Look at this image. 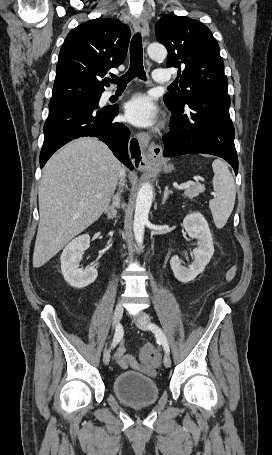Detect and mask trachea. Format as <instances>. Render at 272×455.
Masks as SVG:
<instances>
[{"mask_svg":"<svg viewBox=\"0 0 272 455\" xmlns=\"http://www.w3.org/2000/svg\"><path fill=\"white\" fill-rule=\"evenodd\" d=\"M135 77L146 80V74L143 67L142 38L140 33H136L131 40L129 70L121 77L112 76V79L109 81L117 84L118 87H125Z\"/></svg>","mask_w":272,"mask_h":455,"instance_id":"trachea-1","label":"trachea"}]
</instances>
